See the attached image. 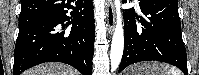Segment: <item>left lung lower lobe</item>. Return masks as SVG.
<instances>
[{"label": "left lung lower lobe", "mask_w": 199, "mask_h": 75, "mask_svg": "<svg viewBox=\"0 0 199 75\" xmlns=\"http://www.w3.org/2000/svg\"><path fill=\"white\" fill-rule=\"evenodd\" d=\"M139 1L144 16L140 25L133 8L123 14L125 43L119 72L133 63L153 60L172 64L188 75L177 0Z\"/></svg>", "instance_id": "obj_1"}]
</instances>
